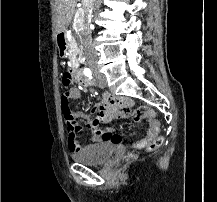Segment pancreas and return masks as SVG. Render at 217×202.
Wrapping results in <instances>:
<instances>
[{
	"label": "pancreas",
	"instance_id": "obj_1",
	"mask_svg": "<svg viewBox=\"0 0 217 202\" xmlns=\"http://www.w3.org/2000/svg\"><path fill=\"white\" fill-rule=\"evenodd\" d=\"M73 50H75V54H74V56H75V58H76V56H77V54H78V52H77V48H73Z\"/></svg>",
	"mask_w": 217,
	"mask_h": 202
}]
</instances>
